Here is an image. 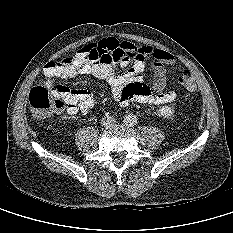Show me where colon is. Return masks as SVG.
Instances as JSON below:
<instances>
[{
  "label": "colon",
  "instance_id": "5ec220e1",
  "mask_svg": "<svg viewBox=\"0 0 233 233\" xmlns=\"http://www.w3.org/2000/svg\"><path fill=\"white\" fill-rule=\"evenodd\" d=\"M87 55L85 57L87 58ZM74 57L63 59L60 64H69ZM48 65H56V62H49ZM180 84L189 92L196 89V84L191 72L187 69L183 70L179 76ZM29 104L33 114L40 119L47 118L54 113L59 112L66 106L65 100L58 94L51 92L44 86L34 87L29 93Z\"/></svg>",
  "mask_w": 233,
  "mask_h": 233
}]
</instances>
